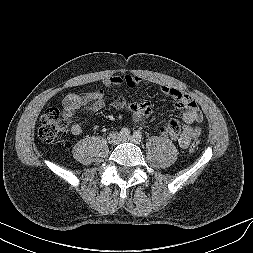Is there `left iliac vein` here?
Wrapping results in <instances>:
<instances>
[{"instance_id": "left-iliac-vein-1", "label": "left iliac vein", "mask_w": 253, "mask_h": 253, "mask_svg": "<svg viewBox=\"0 0 253 253\" xmlns=\"http://www.w3.org/2000/svg\"><path fill=\"white\" fill-rule=\"evenodd\" d=\"M121 141L122 142H132L134 144L138 143V140L136 138H134L133 136L122 137Z\"/></svg>"}]
</instances>
